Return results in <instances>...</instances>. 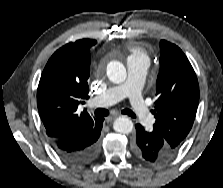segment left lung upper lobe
Listing matches in <instances>:
<instances>
[{
    "label": "left lung upper lobe",
    "instance_id": "5c2ea615",
    "mask_svg": "<svg viewBox=\"0 0 223 188\" xmlns=\"http://www.w3.org/2000/svg\"><path fill=\"white\" fill-rule=\"evenodd\" d=\"M155 107L151 111L166 143L176 153L192 128L199 103L196 74L182 50L160 41V70L156 81Z\"/></svg>",
    "mask_w": 223,
    "mask_h": 188
}]
</instances>
